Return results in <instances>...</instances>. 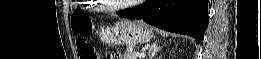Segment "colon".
<instances>
[{"instance_id": "colon-1", "label": "colon", "mask_w": 261, "mask_h": 59, "mask_svg": "<svg viewBox=\"0 0 261 59\" xmlns=\"http://www.w3.org/2000/svg\"><path fill=\"white\" fill-rule=\"evenodd\" d=\"M71 28L73 33L78 36L77 51L80 59H98L99 56L94 47L84 39V37L92 36L95 32L93 20L80 12H75L71 17ZM107 58L112 59V54Z\"/></svg>"}]
</instances>
